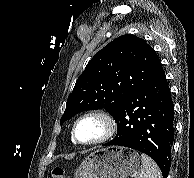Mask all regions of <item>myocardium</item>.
Returning <instances> with one entry per match:
<instances>
[{
    "label": "myocardium",
    "instance_id": "f54148a6",
    "mask_svg": "<svg viewBox=\"0 0 194 178\" xmlns=\"http://www.w3.org/2000/svg\"><path fill=\"white\" fill-rule=\"evenodd\" d=\"M89 117H95L99 119L103 123L104 130H103L102 135L99 138L93 141H90V142H82L76 136V129H77L78 124L82 120L89 118ZM116 132H117V123L114 117L110 113L104 110H101V109H92V110H88L84 112L83 114H81L79 117L76 118L72 126L71 138H72V141L78 145L96 146V145L104 144L108 142L109 140H111L113 136L116 134Z\"/></svg>",
    "mask_w": 194,
    "mask_h": 178
}]
</instances>
